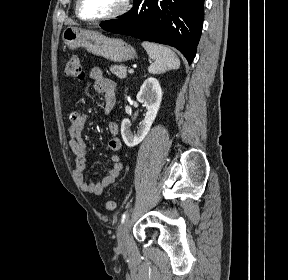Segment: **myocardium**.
<instances>
[{"label":"myocardium","mask_w":288,"mask_h":280,"mask_svg":"<svg viewBox=\"0 0 288 280\" xmlns=\"http://www.w3.org/2000/svg\"><path fill=\"white\" fill-rule=\"evenodd\" d=\"M131 6V0H124L122 3V6L116 10L115 12L102 16V17H98V18H87L85 16L82 15L81 13V0H76L75 3V12L76 15L78 16L79 19L85 21V22H90V23H98V22H106V21H111L117 18L122 17L123 15H125Z\"/></svg>","instance_id":"obj_1"}]
</instances>
